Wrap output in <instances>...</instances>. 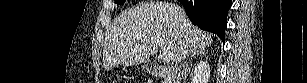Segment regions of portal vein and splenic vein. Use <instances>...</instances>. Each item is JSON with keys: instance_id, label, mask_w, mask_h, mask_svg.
Listing matches in <instances>:
<instances>
[{"instance_id": "portal-vein-and-splenic-vein-1", "label": "portal vein and splenic vein", "mask_w": 307, "mask_h": 83, "mask_svg": "<svg viewBox=\"0 0 307 83\" xmlns=\"http://www.w3.org/2000/svg\"><path fill=\"white\" fill-rule=\"evenodd\" d=\"M156 42H157L159 48L163 50V54L161 55L162 60L164 62H171L172 61L171 54L165 51V49L163 48V44L159 40H157Z\"/></svg>"}]
</instances>
